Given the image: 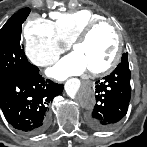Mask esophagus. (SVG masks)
I'll list each match as a JSON object with an SVG mask.
<instances>
[{
    "mask_svg": "<svg viewBox=\"0 0 147 147\" xmlns=\"http://www.w3.org/2000/svg\"><path fill=\"white\" fill-rule=\"evenodd\" d=\"M88 84H89L90 86H93V82H88Z\"/></svg>",
    "mask_w": 147,
    "mask_h": 147,
    "instance_id": "34e87169",
    "label": "esophagus"
}]
</instances>
